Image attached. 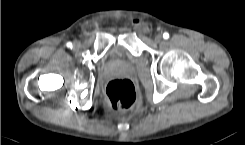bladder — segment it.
Here are the masks:
<instances>
[{
  "label": "bladder",
  "mask_w": 245,
  "mask_h": 145,
  "mask_svg": "<svg viewBox=\"0 0 245 145\" xmlns=\"http://www.w3.org/2000/svg\"><path fill=\"white\" fill-rule=\"evenodd\" d=\"M111 54L119 55V56H127L128 55V53L121 46H118V45H115L111 48Z\"/></svg>",
  "instance_id": "bladder-1"
}]
</instances>
